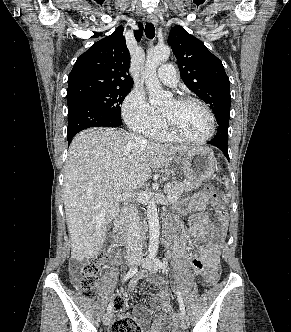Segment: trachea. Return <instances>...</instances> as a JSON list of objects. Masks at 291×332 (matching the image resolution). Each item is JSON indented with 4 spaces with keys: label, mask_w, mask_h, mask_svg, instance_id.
<instances>
[{
    "label": "trachea",
    "mask_w": 291,
    "mask_h": 332,
    "mask_svg": "<svg viewBox=\"0 0 291 332\" xmlns=\"http://www.w3.org/2000/svg\"><path fill=\"white\" fill-rule=\"evenodd\" d=\"M145 34L147 38L153 39L155 36V27L152 23H147L145 26Z\"/></svg>",
    "instance_id": "3493384b"
}]
</instances>
